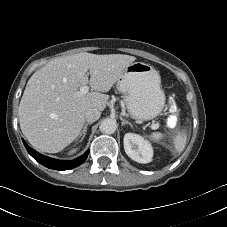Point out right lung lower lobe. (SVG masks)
Returning a JSON list of instances; mask_svg holds the SVG:
<instances>
[{"mask_svg": "<svg viewBox=\"0 0 227 227\" xmlns=\"http://www.w3.org/2000/svg\"><path fill=\"white\" fill-rule=\"evenodd\" d=\"M24 146L26 147L28 153L40 164L44 165L47 168L54 169V170H69L72 168H75L82 163L85 162L87 159V156L89 154V151H86L82 156L79 158L72 160V161H60L57 159L49 158L47 156H44L34 149H32L30 146L27 145V143L23 140Z\"/></svg>", "mask_w": 227, "mask_h": 227, "instance_id": "obj_1", "label": "right lung lower lobe"}]
</instances>
